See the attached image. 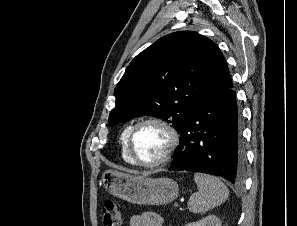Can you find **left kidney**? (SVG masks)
Listing matches in <instances>:
<instances>
[{"label":"left kidney","mask_w":297,"mask_h":226,"mask_svg":"<svg viewBox=\"0 0 297 226\" xmlns=\"http://www.w3.org/2000/svg\"><path fill=\"white\" fill-rule=\"evenodd\" d=\"M185 226H222V225L218 217H216L215 215H208L207 217L199 221L190 222Z\"/></svg>","instance_id":"5707ae66"}]
</instances>
